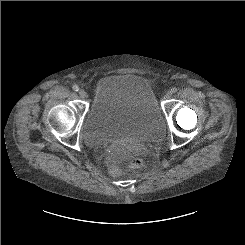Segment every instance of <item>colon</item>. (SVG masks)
Wrapping results in <instances>:
<instances>
[{
    "mask_svg": "<svg viewBox=\"0 0 245 245\" xmlns=\"http://www.w3.org/2000/svg\"><path fill=\"white\" fill-rule=\"evenodd\" d=\"M145 162L142 159H134L132 160L125 168H122L119 165H112L109 169L110 174L117 176L122 174L124 169L129 171L141 170L145 167Z\"/></svg>",
    "mask_w": 245,
    "mask_h": 245,
    "instance_id": "5ec220e1",
    "label": "colon"
}]
</instances>
